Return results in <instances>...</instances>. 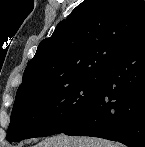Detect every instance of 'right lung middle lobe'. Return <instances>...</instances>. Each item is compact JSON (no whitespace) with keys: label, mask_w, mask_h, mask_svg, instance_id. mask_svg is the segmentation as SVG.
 Segmentation results:
<instances>
[{"label":"right lung middle lobe","mask_w":145,"mask_h":147,"mask_svg":"<svg viewBox=\"0 0 145 147\" xmlns=\"http://www.w3.org/2000/svg\"><path fill=\"white\" fill-rule=\"evenodd\" d=\"M101 73L73 80L56 90L35 89L16 95L7 138L11 142L64 132L96 96Z\"/></svg>","instance_id":"obj_1"}]
</instances>
